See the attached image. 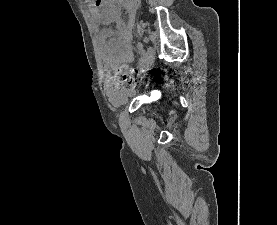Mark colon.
Segmentation results:
<instances>
[{
  "instance_id": "5ec220e1",
  "label": "colon",
  "mask_w": 277,
  "mask_h": 225,
  "mask_svg": "<svg viewBox=\"0 0 277 225\" xmlns=\"http://www.w3.org/2000/svg\"><path fill=\"white\" fill-rule=\"evenodd\" d=\"M115 78L123 87L129 88L135 84L137 75L135 72L129 71L127 65L123 64L118 68Z\"/></svg>"
}]
</instances>
